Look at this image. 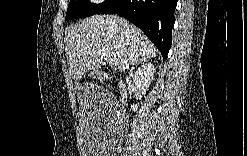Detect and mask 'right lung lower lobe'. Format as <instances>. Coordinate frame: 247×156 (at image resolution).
I'll use <instances>...</instances> for the list:
<instances>
[{"label": "right lung lower lobe", "mask_w": 247, "mask_h": 156, "mask_svg": "<svg viewBox=\"0 0 247 156\" xmlns=\"http://www.w3.org/2000/svg\"><path fill=\"white\" fill-rule=\"evenodd\" d=\"M176 5L175 0H107L97 14H119L135 24L165 60L172 44Z\"/></svg>", "instance_id": "obj_1"}]
</instances>
